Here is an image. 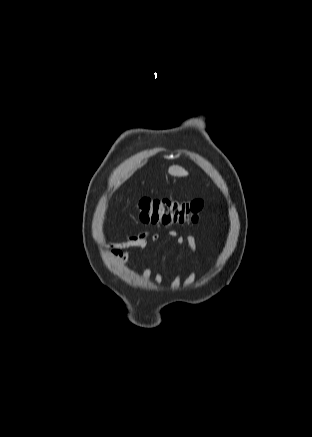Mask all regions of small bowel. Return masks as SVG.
<instances>
[{
    "instance_id": "1",
    "label": "small bowel",
    "mask_w": 312,
    "mask_h": 437,
    "mask_svg": "<svg viewBox=\"0 0 312 437\" xmlns=\"http://www.w3.org/2000/svg\"><path fill=\"white\" fill-rule=\"evenodd\" d=\"M169 235L172 237H177L178 233L174 230H171ZM149 239L152 243H156L159 241L160 235L158 233L150 234L148 232H141L136 235L129 236L124 242L109 243L108 247L113 258L121 263H124L135 251L146 249L150 245ZM187 239L191 241L192 237L189 236ZM183 242L184 239L182 237H178L177 243L181 245ZM190 282V279H186L182 282V285L187 286L190 284Z\"/></svg>"
}]
</instances>
